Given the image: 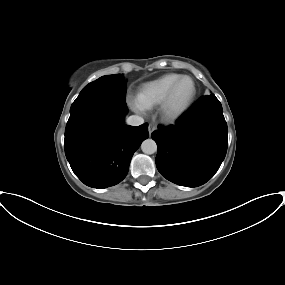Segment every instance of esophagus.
Segmentation results:
<instances>
[{"label":"esophagus","mask_w":285,"mask_h":285,"mask_svg":"<svg viewBox=\"0 0 285 285\" xmlns=\"http://www.w3.org/2000/svg\"><path fill=\"white\" fill-rule=\"evenodd\" d=\"M156 128H157L156 125L149 124V128H148L149 134L151 135L156 130Z\"/></svg>","instance_id":"esophagus-1"}]
</instances>
